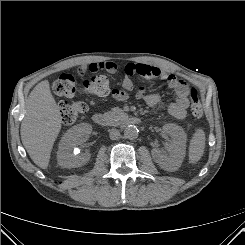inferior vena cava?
I'll list each match as a JSON object with an SVG mask.
<instances>
[{
  "label": "inferior vena cava",
  "instance_id": "1",
  "mask_svg": "<svg viewBox=\"0 0 245 245\" xmlns=\"http://www.w3.org/2000/svg\"><path fill=\"white\" fill-rule=\"evenodd\" d=\"M109 137H110V139H112V140L118 139V138L120 137V132H119V130H117V129H111V130L109 131Z\"/></svg>",
  "mask_w": 245,
  "mask_h": 245
}]
</instances>
